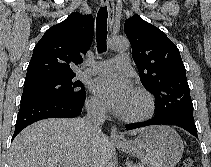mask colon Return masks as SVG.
<instances>
[{
  "mask_svg": "<svg viewBox=\"0 0 211 167\" xmlns=\"http://www.w3.org/2000/svg\"><path fill=\"white\" fill-rule=\"evenodd\" d=\"M182 167H194V165L191 160H186Z\"/></svg>",
  "mask_w": 211,
  "mask_h": 167,
  "instance_id": "5ec220e1",
  "label": "colon"
}]
</instances>
